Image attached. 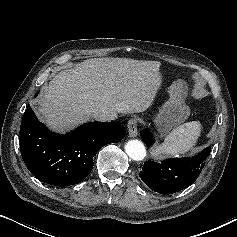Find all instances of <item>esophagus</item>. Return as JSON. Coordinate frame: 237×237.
Masks as SVG:
<instances>
[{
  "label": "esophagus",
  "instance_id": "obj_1",
  "mask_svg": "<svg viewBox=\"0 0 237 237\" xmlns=\"http://www.w3.org/2000/svg\"><path fill=\"white\" fill-rule=\"evenodd\" d=\"M127 128H128V133L130 137L134 138L138 135L136 119H131L127 124Z\"/></svg>",
  "mask_w": 237,
  "mask_h": 237
}]
</instances>
